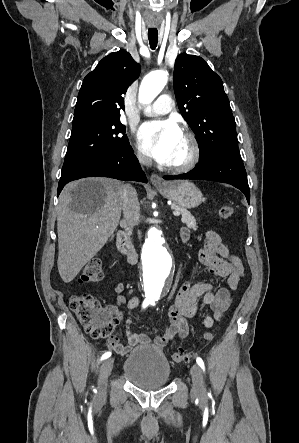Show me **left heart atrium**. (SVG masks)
<instances>
[{
	"instance_id": "39dd6f15",
	"label": "left heart atrium",
	"mask_w": 299,
	"mask_h": 443,
	"mask_svg": "<svg viewBox=\"0 0 299 443\" xmlns=\"http://www.w3.org/2000/svg\"><path fill=\"white\" fill-rule=\"evenodd\" d=\"M183 134L174 120L143 124L138 131V144L157 162L169 164Z\"/></svg>"
}]
</instances>
